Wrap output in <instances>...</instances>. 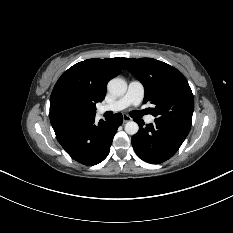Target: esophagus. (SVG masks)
Instances as JSON below:
<instances>
[{"label":"esophagus","instance_id":"34e87169","mask_svg":"<svg viewBox=\"0 0 233 233\" xmlns=\"http://www.w3.org/2000/svg\"><path fill=\"white\" fill-rule=\"evenodd\" d=\"M131 121V117L128 116V115H123V122L126 123V122H129Z\"/></svg>","mask_w":233,"mask_h":233}]
</instances>
